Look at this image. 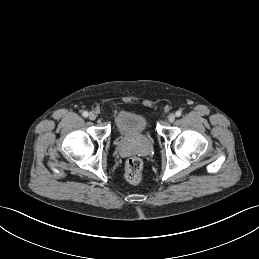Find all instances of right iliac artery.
<instances>
[{
    "label": "right iliac artery",
    "mask_w": 259,
    "mask_h": 259,
    "mask_svg": "<svg viewBox=\"0 0 259 259\" xmlns=\"http://www.w3.org/2000/svg\"><path fill=\"white\" fill-rule=\"evenodd\" d=\"M82 115H83L84 117H88V112L84 111V112L82 113Z\"/></svg>",
    "instance_id": "obj_1"
}]
</instances>
